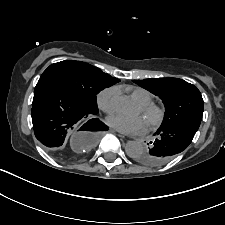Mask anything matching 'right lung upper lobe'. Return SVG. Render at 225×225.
<instances>
[{
    "instance_id": "cb5924a9",
    "label": "right lung upper lobe",
    "mask_w": 225,
    "mask_h": 225,
    "mask_svg": "<svg viewBox=\"0 0 225 225\" xmlns=\"http://www.w3.org/2000/svg\"><path fill=\"white\" fill-rule=\"evenodd\" d=\"M110 76V75H109ZM111 77V76H110ZM111 79L115 82V83H117V82H119L120 80L119 79H117V78H113V77H111Z\"/></svg>"
}]
</instances>
